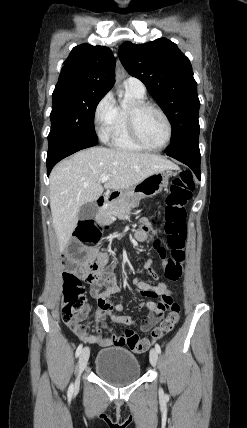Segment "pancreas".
Here are the masks:
<instances>
[{"instance_id":"cf45deb5","label":"pancreas","mask_w":247,"mask_h":428,"mask_svg":"<svg viewBox=\"0 0 247 428\" xmlns=\"http://www.w3.org/2000/svg\"><path fill=\"white\" fill-rule=\"evenodd\" d=\"M137 206V202L129 201L122 193L119 198L112 204L102 208L98 221L100 223L109 222L114 216L124 215Z\"/></svg>"}]
</instances>
